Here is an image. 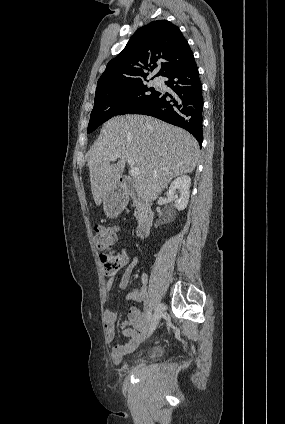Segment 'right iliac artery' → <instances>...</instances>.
I'll return each instance as SVG.
<instances>
[{
	"mask_svg": "<svg viewBox=\"0 0 285 424\" xmlns=\"http://www.w3.org/2000/svg\"><path fill=\"white\" fill-rule=\"evenodd\" d=\"M151 317H152V313H151V310L148 312V315H147V319H148V321H150L151 320Z\"/></svg>",
	"mask_w": 285,
	"mask_h": 424,
	"instance_id": "82829eb1",
	"label": "right iliac artery"
}]
</instances>
